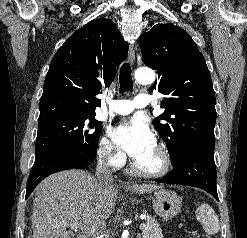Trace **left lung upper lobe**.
I'll list each match as a JSON object with an SVG mask.
<instances>
[{
    "mask_svg": "<svg viewBox=\"0 0 247 238\" xmlns=\"http://www.w3.org/2000/svg\"><path fill=\"white\" fill-rule=\"evenodd\" d=\"M145 65L158 73L152 91L164 95L153 125L172 162L182 149L214 154L215 93L203 55L190 35L171 23L154 25L139 39Z\"/></svg>",
    "mask_w": 247,
    "mask_h": 238,
    "instance_id": "left-lung-upper-lobe-1",
    "label": "left lung upper lobe"
}]
</instances>
